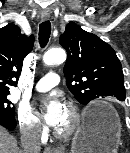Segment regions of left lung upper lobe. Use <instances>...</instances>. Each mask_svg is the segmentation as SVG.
Returning <instances> with one entry per match:
<instances>
[{
	"instance_id": "5c2ea615",
	"label": "left lung upper lobe",
	"mask_w": 130,
	"mask_h": 153,
	"mask_svg": "<svg viewBox=\"0 0 130 153\" xmlns=\"http://www.w3.org/2000/svg\"><path fill=\"white\" fill-rule=\"evenodd\" d=\"M59 42L67 51V87L79 103L108 96L125 99L122 66L109 44L74 22L67 24Z\"/></svg>"
}]
</instances>
